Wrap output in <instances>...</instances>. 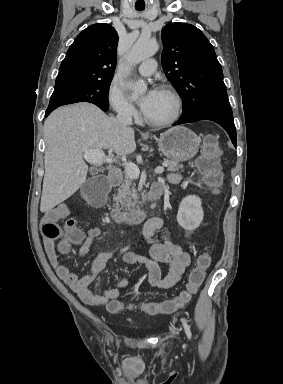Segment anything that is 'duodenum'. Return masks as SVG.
I'll list each match as a JSON object with an SVG mask.
<instances>
[{
    "mask_svg": "<svg viewBox=\"0 0 283 384\" xmlns=\"http://www.w3.org/2000/svg\"><path fill=\"white\" fill-rule=\"evenodd\" d=\"M109 180L113 183H118L121 180L122 173L119 168L113 169L108 174ZM108 189V186H107ZM163 194L162 185L160 183H154L151 185L150 189L147 192L146 198L150 202L157 201ZM148 210L146 208L138 209L132 213L123 214V213H114L113 218L115 221H124L128 224H139L147 216Z\"/></svg>",
    "mask_w": 283,
    "mask_h": 384,
    "instance_id": "duodenum-1",
    "label": "duodenum"
}]
</instances>
